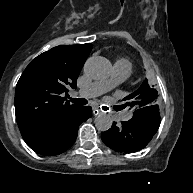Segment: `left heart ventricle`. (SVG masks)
<instances>
[{
	"label": "left heart ventricle",
	"instance_id": "b2bd125f",
	"mask_svg": "<svg viewBox=\"0 0 193 193\" xmlns=\"http://www.w3.org/2000/svg\"><path fill=\"white\" fill-rule=\"evenodd\" d=\"M103 83H104V87H105L106 89L112 88V87H113V75L110 74V75L108 76V78L104 80Z\"/></svg>",
	"mask_w": 193,
	"mask_h": 193
}]
</instances>
